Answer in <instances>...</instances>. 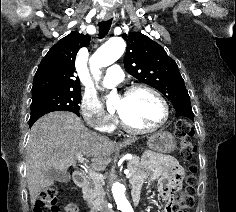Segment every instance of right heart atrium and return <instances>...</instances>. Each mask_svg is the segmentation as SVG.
I'll return each mask as SVG.
<instances>
[{
  "mask_svg": "<svg viewBox=\"0 0 236 212\" xmlns=\"http://www.w3.org/2000/svg\"><path fill=\"white\" fill-rule=\"evenodd\" d=\"M80 113L87 125L97 131L109 132L114 127V117L106 113L95 96H83L80 103Z\"/></svg>",
  "mask_w": 236,
  "mask_h": 212,
  "instance_id": "d8ad5b80",
  "label": "right heart atrium"
}]
</instances>
